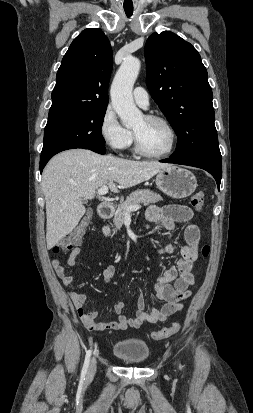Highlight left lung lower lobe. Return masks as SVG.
<instances>
[{
	"instance_id": "left-lung-lower-lobe-1",
	"label": "left lung lower lobe",
	"mask_w": 253,
	"mask_h": 413,
	"mask_svg": "<svg viewBox=\"0 0 253 413\" xmlns=\"http://www.w3.org/2000/svg\"><path fill=\"white\" fill-rule=\"evenodd\" d=\"M161 162L175 163L198 167L208 171L215 178L219 189L222 178V157L196 156V157H170Z\"/></svg>"
}]
</instances>
